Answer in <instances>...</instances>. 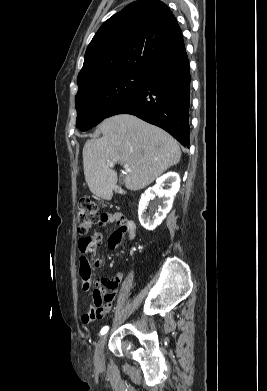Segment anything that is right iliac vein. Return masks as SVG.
Instances as JSON below:
<instances>
[{
    "label": "right iliac vein",
    "mask_w": 267,
    "mask_h": 391,
    "mask_svg": "<svg viewBox=\"0 0 267 391\" xmlns=\"http://www.w3.org/2000/svg\"><path fill=\"white\" fill-rule=\"evenodd\" d=\"M107 341V334H104L96 344L94 360L97 366L103 365L104 362V347Z\"/></svg>",
    "instance_id": "right-iliac-vein-1"
}]
</instances>
